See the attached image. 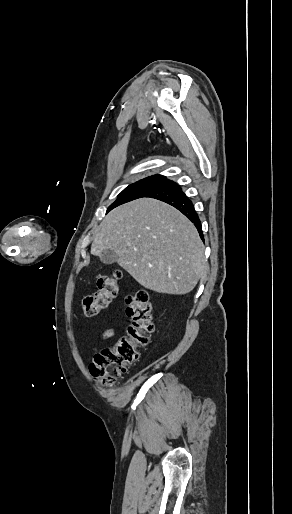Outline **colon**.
Wrapping results in <instances>:
<instances>
[{
    "mask_svg": "<svg viewBox=\"0 0 292 514\" xmlns=\"http://www.w3.org/2000/svg\"><path fill=\"white\" fill-rule=\"evenodd\" d=\"M121 273L113 271L97 280L98 291L82 298V309L86 316L97 317L117 299L120 293ZM131 325L128 333L115 344L103 349L89 364L90 374L100 379L106 387L115 386L127 367L137 360L139 350L144 348L153 332L152 305L145 290L131 292L126 301Z\"/></svg>",
    "mask_w": 292,
    "mask_h": 514,
    "instance_id": "obj_1",
    "label": "colon"
}]
</instances>
